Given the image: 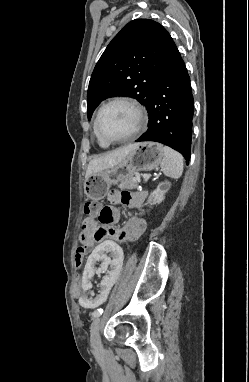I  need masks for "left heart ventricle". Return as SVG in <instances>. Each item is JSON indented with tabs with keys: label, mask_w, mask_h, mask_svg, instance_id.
Listing matches in <instances>:
<instances>
[{
	"label": "left heart ventricle",
	"mask_w": 249,
	"mask_h": 382,
	"mask_svg": "<svg viewBox=\"0 0 249 382\" xmlns=\"http://www.w3.org/2000/svg\"><path fill=\"white\" fill-rule=\"evenodd\" d=\"M136 114L125 104L117 103L107 107L100 117V130L110 139L121 138L133 132Z\"/></svg>",
	"instance_id": "obj_1"
}]
</instances>
